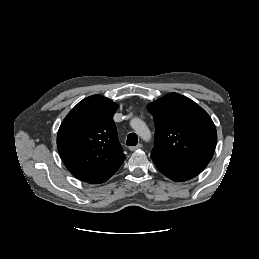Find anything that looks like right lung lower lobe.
Segmentation results:
<instances>
[{
  "label": "right lung lower lobe",
  "instance_id": "1",
  "mask_svg": "<svg viewBox=\"0 0 259 259\" xmlns=\"http://www.w3.org/2000/svg\"><path fill=\"white\" fill-rule=\"evenodd\" d=\"M110 178V177H109ZM109 178H107V179H105V180H103V181H101V182H98V183H103V182H105L106 180H108ZM98 183H95V184H98Z\"/></svg>",
  "mask_w": 259,
  "mask_h": 259
}]
</instances>
